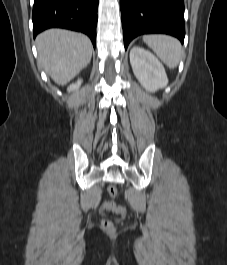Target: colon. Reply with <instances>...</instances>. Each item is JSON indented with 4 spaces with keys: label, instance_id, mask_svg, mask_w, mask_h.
Listing matches in <instances>:
<instances>
[{
    "label": "colon",
    "instance_id": "1",
    "mask_svg": "<svg viewBox=\"0 0 227 265\" xmlns=\"http://www.w3.org/2000/svg\"><path fill=\"white\" fill-rule=\"evenodd\" d=\"M108 194L111 198H115L117 195V188L114 185H110L107 189ZM104 207L116 214L123 215L125 213L124 208L115 204L114 201H108L104 204ZM102 229L107 233H114L116 231V224L109 219L102 222Z\"/></svg>",
    "mask_w": 227,
    "mask_h": 265
}]
</instances>
